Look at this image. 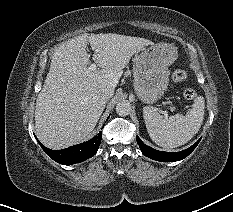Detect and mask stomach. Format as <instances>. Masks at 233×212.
I'll return each instance as SVG.
<instances>
[{
	"label": "stomach",
	"instance_id": "stomach-1",
	"mask_svg": "<svg viewBox=\"0 0 233 212\" xmlns=\"http://www.w3.org/2000/svg\"><path fill=\"white\" fill-rule=\"evenodd\" d=\"M173 44L160 42L144 47L133 60L134 90L144 103H154L169 83L168 67L177 59Z\"/></svg>",
	"mask_w": 233,
	"mask_h": 212
}]
</instances>
